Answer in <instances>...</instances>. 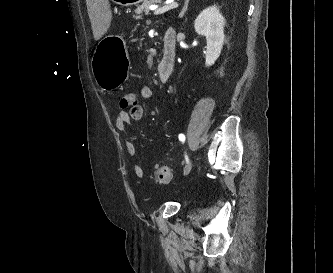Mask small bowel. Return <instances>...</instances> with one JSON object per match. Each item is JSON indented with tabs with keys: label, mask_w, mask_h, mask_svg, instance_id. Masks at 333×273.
Returning a JSON list of instances; mask_svg holds the SVG:
<instances>
[{
	"label": "small bowel",
	"mask_w": 333,
	"mask_h": 273,
	"mask_svg": "<svg viewBox=\"0 0 333 273\" xmlns=\"http://www.w3.org/2000/svg\"><path fill=\"white\" fill-rule=\"evenodd\" d=\"M152 89L149 86H143L140 90V95L143 99L148 100L152 97ZM144 117V108L136 101L132 104L131 109H120L115 117L114 125L119 133L126 131V125L131 123H137ZM124 146L131 160V167L136 178L144 177V170L140 164L136 161V149L134 143L124 138Z\"/></svg>",
	"instance_id": "small-bowel-1"
}]
</instances>
